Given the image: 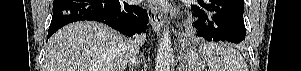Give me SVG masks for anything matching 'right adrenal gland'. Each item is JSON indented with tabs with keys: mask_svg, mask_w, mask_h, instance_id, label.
<instances>
[{
	"mask_svg": "<svg viewBox=\"0 0 301 71\" xmlns=\"http://www.w3.org/2000/svg\"><path fill=\"white\" fill-rule=\"evenodd\" d=\"M129 71H133V69H129Z\"/></svg>",
	"mask_w": 301,
	"mask_h": 71,
	"instance_id": "2a0ac1e0",
	"label": "right adrenal gland"
}]
</instances>
